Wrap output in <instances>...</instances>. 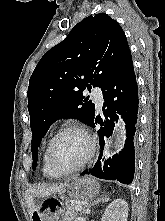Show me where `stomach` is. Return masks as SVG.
<instances>
[{"mask_svg": "<svg viewBox=\"0 0 165 221\" xmlns=\"http://www.w3.org/2000/svg\"><path fill=\"white\" fill-rule=\"evenodd\" d=\"M64 192L71 198L87 200L98 194L99 184L90 177L74 178L67 184ZM67 205H71V200H36L35 210L31 212V217L34 221H66V218L55 217H65Z\"/></svg>", "mask_w": 165, "mask_h": 221, "instance_id": "0dacf381", "label": "stomach"}]
</instances>
